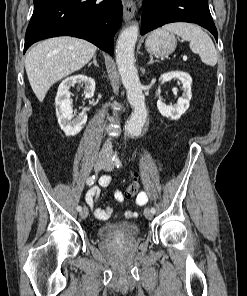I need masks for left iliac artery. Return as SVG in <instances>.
I'll use <instances>...</instances> for the list:
<instances>
[{
  "instance_id": "44dca946",
  "label": "left iliac artery",
  "mask_w": 247,
  "mask_h": 296,
  "mask_svg": "<svg viewBox=\"0 0 247 296\" xmlns=\"http://www.w3.org/2000/svg\"><path fill=\"white\" fill-rule=\"evenodd\" d=\"M113 161H114V163H115V165H116L117 168H119V167L122 165V163H121V161H120V159H119V157H118L117 155H115V156L113 157ZM151 212H152L153 214L156 212V210H155L154 207L151 208Z\"/></svg>"
}]
</instances>
